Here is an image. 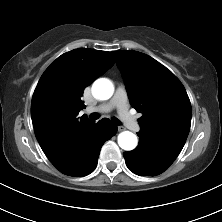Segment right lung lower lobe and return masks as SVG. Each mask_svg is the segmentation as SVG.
<instances>
[{"label": "right lung lower lobe", "mask_w": 222, "mask_h": 222, "mask_svg": "<svg viewBox=\"0 0 222 222\" xmlns=\"http://www.w3.org/2000/svg\"><path fill=\"white\" fill-rule=\"evenodd\" d=\"M117 127L108 119L88 126L80 152L74 161L65 167L57 168L63 174L82 177L90 174L97 166L102 145L115 135Z\"/></svg>", "instance_id": "obj_1"}]
</instances>
